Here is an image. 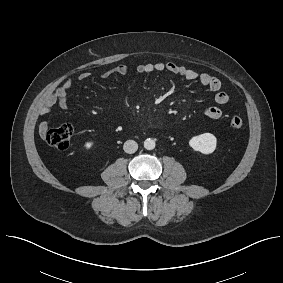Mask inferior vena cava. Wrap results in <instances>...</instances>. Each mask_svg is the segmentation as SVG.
<instances>
[{
	"label": "inferior vena cava",
	"mask_w": 283,
	"mask_h": 283,
	"mask_svg": "<svg viewBox=\"0 0 283 283\" xmlns=\"http://www.w3.org/2000/svg\"><path fill=\"white\" fill-rule=\"evenodd\" d=\"M123 149L126 153L132 154L137 151L138 144L134 140H127L123 145Z\"/></svg>",
	"instance_id": "1"
}]
</instances>
